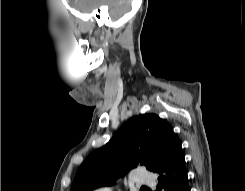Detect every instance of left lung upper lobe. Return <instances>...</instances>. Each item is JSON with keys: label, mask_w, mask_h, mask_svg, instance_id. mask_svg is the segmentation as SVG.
<instances>
[{"label": "left lung upper lobe", "mask_w": 245, "mask_h": 191, "mask_svg": "<svg viewBox=\"0 0 245 191\" xmlns=\"http://www.w3.org/2000/svg\"><path fill=\"white\" fill-rule=\"evenodd\" d=\"M181 148L171 125L158 115L130 118L103 147L91 153L79 167L70 191H91L145 166L157 173L170 163Z\"/></svg>", "instance_id": "5c2ea615"}]
</instances>
